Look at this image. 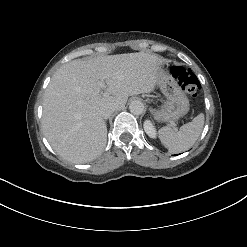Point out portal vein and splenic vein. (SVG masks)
<instances>
[{
	"instance_id": "1",
	"label": "portal vein and splenic vein",
	"mask_w": 247,
	"mask_h": 247,
	"mask_svg": "<svg viewBox=\"0 0 247 247\" xmlns=\"http://www.w3.org/2000/svg\"><path fill=\"white\" fill-rule=\"evenodd\" d=\"M99 85H100L101 87H104V88H105V84H104L103 81H100V82H99ZM109 94H110L109 91L105 90V92L103 93V96L107 97V96H109Z\"/></svg>"
}]
</instances>
